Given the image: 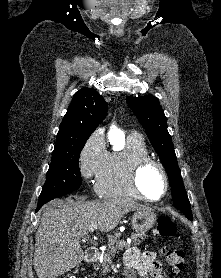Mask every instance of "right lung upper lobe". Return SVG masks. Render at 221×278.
Wrapping results in <instances>:
<instances>
[{
  "mask_svg": "<svg viewBox=\"0 0 221 278\" xmlns=\"http://www.w3.org/2000/svg\"><path fill=\"white\" fill-rule=\"evenodd\" d=\"M107 115V103L94 89L82 88L73 96L60 124L54 149L86 142Z\"/></svg>",
  "mask_w": 221,
  "mask_h": 278,
  "instance_id": "right-lung-upper-lobe-1",
  "label": "right lung upper lobe"
}]
</instances>
